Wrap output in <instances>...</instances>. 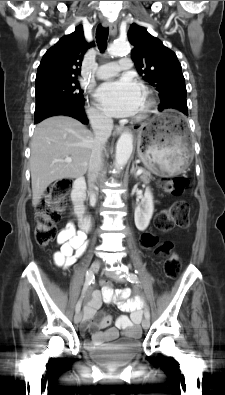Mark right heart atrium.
<instances>
[{
    "instance_id": "right-heart-atrium-1",
    "label": "right heart atrium",
    "mask_w": 225,
    "mask_h": 395,
    "mask_svg": "<svg viewBox=\"0 0 225 395\" xmlns=\"http://www.w3.org/2000/svg\"><path fill=\"white\" fill-rule=\"evenodd\" d=\"M88 115L93 121L96 122H105L107 120L106 115L95 104H92L88 108Z\"/></svg>"
}]
</instances>
